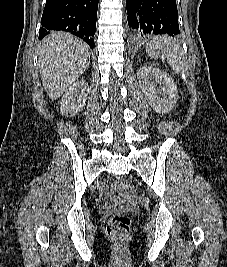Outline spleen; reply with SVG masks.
<instances>
[{"instance_id": "1", "label": "spleen", "mask_w": 227, "mask_h": 267, "mask_svg": "<svg viewBox=\"0 0 227 267\" xmlns=\"http://www.w3.org/2000/svg\"><path fill=\"white\" fill-rule=\"evenodd\" d=\"M146 51L152 58L161 56L166 59L175 73L181 72L183 61L180 47L173 39L166 36L161 39H155L147 45Z\"/></svg>"}]
</instances>
